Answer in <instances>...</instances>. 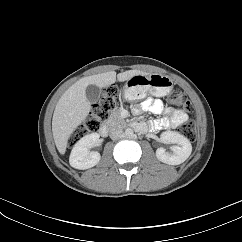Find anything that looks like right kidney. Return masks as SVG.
<instances>
[{
    "mask_svg": "<svg viewBox=\"0 0 242 242\" xmlns=\"http://www.w3.org/2000/svg\"><path fill=\"white\" fill-rule=\"evenodd\" d=\"M99 134L91 133L82 137L73 147L69 163L73 168L84 170L95 166L100 161L98 152H90L89 149L99 142Z\"/></svg>",
    "mask_w": 242,
    "mask_h": 242,
    "instance_id": "obj_1",
    "label": "right kidney"
}]
</instances>
